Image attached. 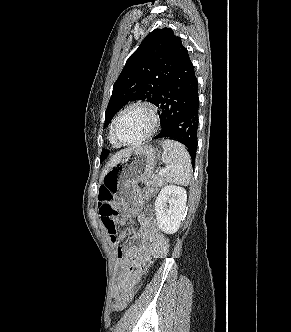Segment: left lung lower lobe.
<instances>
[{
  "label": "left lung lower lobe",
  "mask_w": 291,
  "mask_h": 332,
  "mask_svg": "<svg viewBox=\"0 0 291 332\" xmlns=\"http://www.w3.org/2000/svg\"><path fill=\"white\" fill-rule=\"evenodd\" d=\"M161 109V132L155 138H173L188 148L195 162L198 129V81L194 66L185 50L177 69L162 90L157 103Z\"/></svg>",
  "instance_id": "1"
}]
</instances>
